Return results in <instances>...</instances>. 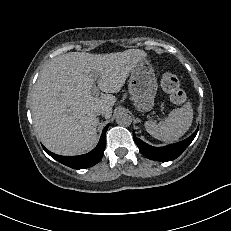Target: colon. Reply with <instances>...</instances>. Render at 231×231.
Wrapping results in <instances>:
<instances>
[{
	"instance_id": "1",
	"label": "colon",
	"mask_w": 231,
	"mask_h": 231,
	"mask_svg": "<svg viewBox=\"0 0 231 231\" xmlns=\"http://www.w3.org/2000/svg\"><path fill=\"white\" fill-rule=\"evenodd\" d=\"M161 87L163 91L168 94L172 102L176 104H182L185 102L186 94L175 74L171 72L164 73L161 78Z\"/></svg>"
}]
</instances>
